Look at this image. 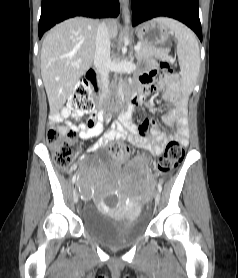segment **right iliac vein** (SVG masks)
Instances as JSON below:
<instances>
[{"label": "right iliac vein", "instance_id": "obj_1", "mask_svg": "<svg viewBox=\"0 0 238 278\" xmlns=\"http://www.w3.org/2000/svg\"><path fill=\"white\" fill-rule=\"evenodd\" d=\"M76 192H77V189H73L74 201H75V202H78L79 197H78V195L76 194Z\"/></svg>", "mask_w": 238, "mask_h": 278}]
</instances>
